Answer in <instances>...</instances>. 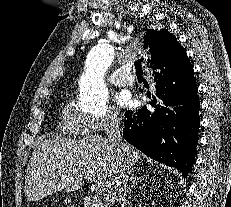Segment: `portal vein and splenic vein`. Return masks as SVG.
<instances>
[{"label":"portal vein and splenic vein","mask_w":231,"mask_h":207,"mask_svg":"<svg viewBox=\"0 0 231 207\" xmlns=\"http://www.w3.org/2000/svg\"><path fill=\"white\" fill-rule=\"evenodd\" d=\"M86 179L91 180V178H87V177H86ZM91 190L96 191V193H98V194H102V192H103V188L98 183H96V184L93 183L91 185Z\"/></svg>","instance_id":"1"}]
</instances>
